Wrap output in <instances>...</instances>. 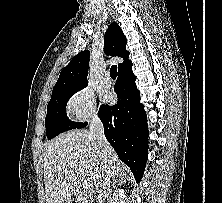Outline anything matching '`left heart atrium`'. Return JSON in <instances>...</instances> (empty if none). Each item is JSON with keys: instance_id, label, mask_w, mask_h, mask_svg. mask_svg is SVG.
<instances>
[{"instance_id": "1", "label": "left heart atrium", "mask_w": 222, "mask_h": 203, "mask_svg": "<svg viewBox=\"0 0 222 203\" xmlns=\"http://www.w3.org/2000/svg\"><path fill=\"white\" fill-rule=\"evenodd\" d=\"M109 98V96H106V99H108Z\"/></svg>"}]
</instances>
